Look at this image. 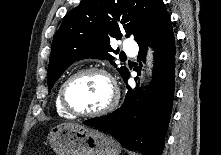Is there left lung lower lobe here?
<instances>
[{
    "label": "left lung lower lobe",
    "instance_id": "1",
    "mask_svg": "<svg viewBox=\"0 0 221 155\" xmlns=\"http://www.w3.org/2000/svg\"><path fill=\"white\" fill-rule=\"evenodd\" d=\"M149 41L155 50V61L148 89L142 93L138 87L132 90L128 86L126 99L120 108L109 115L83 121V124L109 133L131 151L160 155L171 115L175 84V40L164 3L152 13L136 40L139 61H144ZM128 77L129 71L123 77L125 82Z\"/></svg>",
    "mask_w": 221,
    "mask_h": 155
}]
</instances>
